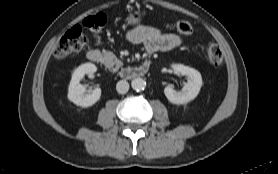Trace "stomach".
I'll return each mask as SVG.
<instances>
[{
	"label": "stomach",
	"instance_id": "obj_1",
	"mask_svg": "<svg viewBox=\"0 0 278 174\" xmlns=\"http://www.w3.org/2000/svg\"><path fill=\"white\" fill-rule=\"evenodd\" d=\"M143 14L139 11H132L128 14L126 21L130 25H137L141 22Z\"/></svg>",
	"mask_w": 278,
	"mask_h": 174
}]
</instances>
